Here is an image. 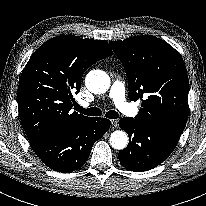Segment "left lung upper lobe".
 <instances>
[{
    "label": "left lung upper lobe",
    "mask_w": 206,
    "mask_h": 206,
    "mask_svg": "<svg viewBox=\"0 0 206 206\" xmlns=\"http://www.w3.org/2000/svg\"><path fill=\"white\" fill-rule=\"evenodd\" d=\"M110 44L126 70L129 99H142L140 112L133 119L182 134L189 112V81L179 52L149 35Z\"/></svg>",
    "instance_id": "1"
}]
</instances>
